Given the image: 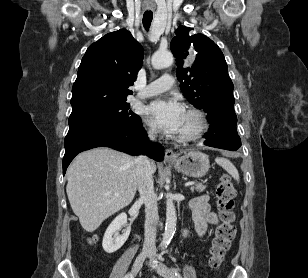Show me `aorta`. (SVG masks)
<instances>
[{"label":"aorta","instance_id":"1","mask_svg":"<svg viewBox=\"0 0 308 278\" xmlns=\"http://www.w3.org/2000/svg\"><path fill=\"white\" fill-rule=\"evenodd\" d=\"M152 66L155 69H162L173 63V55L168 51H157L151 59ZM176 209L172 200L166 201V225L163 234L162 245L167 246L172 240L176 230Z\"/></svg>","mask_w":308,"mask_h":278}]
</instances>
